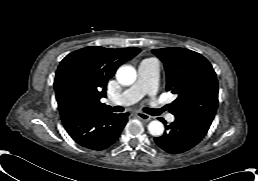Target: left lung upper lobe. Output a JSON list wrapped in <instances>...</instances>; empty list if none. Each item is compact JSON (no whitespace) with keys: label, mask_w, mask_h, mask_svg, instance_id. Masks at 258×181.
Here are the masks:
<instances>
[{"label":"left lung upper lobe","mask_w":258,"mask_h":181,"mask_svg":"<svg viewBox=\"0 0 258 181\" xmlns=\"http://www.w3.org/2000/svg\"><path fill=\"white\" fill-rule=\"evenodd\" d=\"M152 52L164 63L167 91L177 94V99L168 105L170 112L213 120L218 106V82L209 61L183 48Z\"/></svg>","instance_id":"5c2ea615"}]
</instances>
